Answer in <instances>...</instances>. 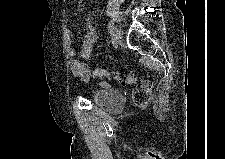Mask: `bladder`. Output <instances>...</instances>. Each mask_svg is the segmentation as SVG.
Instances as JSON below:
<instances>
[{
  "instance_id": "31cf9c89",
  "label": "bladder",
  "mask_w": 225,
  "mask_h": 159,
  "mask_svg": "<svg viewBox=\"0 0 225 159\" xmlns=\"http://www.w3.org/2000/svg\"><path fill=\"white\" fill-rule=\"evenodd\" d=\"M92 102L98 108L109 113L120 111L125 105L123 95L111 87L95 89L92 93Z\"/></svg>"
}]
</instances>
